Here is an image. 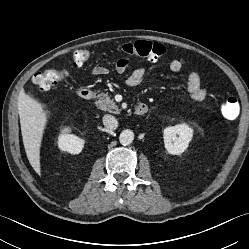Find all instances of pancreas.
<instances>
[{"label":"pancreas","mask_w":249,"mask_h":249,"mask_svg":"<svg viewBox=\"0 0 249 249\" xmlns=\"http://www.w3.org/2000/svg\"><path fill=\"white\" fill-rule=\"evenodd\" d=\"M97 101L95 102L96 106L104 111H109L113 114H119L120 110L116 105L115 101L111 99V96L108 93H100L97 95Z\"/></svg>","instance_id":"pancreas-1"}]
</instances>
